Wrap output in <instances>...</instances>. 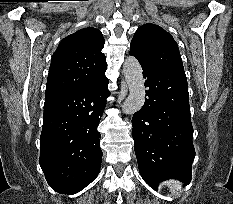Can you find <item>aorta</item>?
I'll list each match as a JSON object with an SVG mask.
<instances>
[{"label": "aorta", "mask_w": 233, "mask_h": 204, "mask_svg": "<svg viewBox=\"0 0 233 204\" xmlns=\"http://www.w3.org/2000/svg\"><path fill=\"white\" fill-rule=\"evenodd\" d=\"M123 73L129 87V95L122 110L126 114H134L142 108L145 102L144 80L139 61L133 56L127 57L123 65Z\"/></svg>", "instance_id": "obj_1"}]
</instances>
